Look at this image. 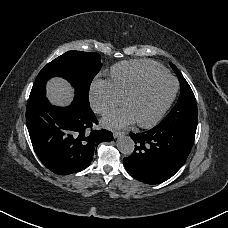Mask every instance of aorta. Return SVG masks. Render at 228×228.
<instances>
[{
  "instance_id": "obj_1",
  "label": "aorta",
  "mask_w": 228,
  "mask_h": 228,
  "mask_svg": "<svg viewBox=\"0 0 228 228\" xmlns=\"http://www.w3.org/2000/svg\"><path fill=\"white\" fill-rule=\"evenodd\" d=\"M117 148L124 155H130L134 151L135 143L129 136H121L117 139Z\"/></svg>"
}]
</instances>
